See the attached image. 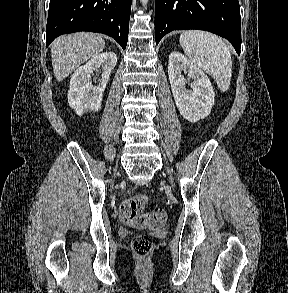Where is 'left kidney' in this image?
Wrapping results in <instances>:
<instances>
[{"mask_svg":"<svg viewBox=\"0 0 288 293\" xmlns=\"http://www.w3.org/2000/svg\"><path fill=\"white\" fill-rule=\"evenodd\" d=\"M187 73L192 79V90L186 89ZM168 75L172 94L180 114L189 122L195 123L207 117L214 105V90L207 75L193 65L184 55L174 51L169 55Z\"/></svg>","mask_w":288,"mask_h":293,"instance_id":"1","label":"left kidney"}]
</instances>
